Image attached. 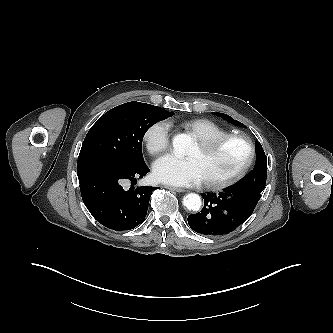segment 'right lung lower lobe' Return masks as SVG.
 <instances>
[{"label": "right lung lower lobe", "instance_id": "1", "mask_svg": "<svg viewBox=\"0 0 333 333\" xmlns=\"http://www.w3.org/2000/svg\"><path fill=\"white\" fill-rule=\"evenodd\" d=\"M149 172L145 162L133 166L116 159L94 157L78 160L77 175L84 204L107 228L123 231L141 224L155 187L124 190L125 181H136Z\"/></svg>", "mask_w": 333, "mask_h": 333}]
</instances>
